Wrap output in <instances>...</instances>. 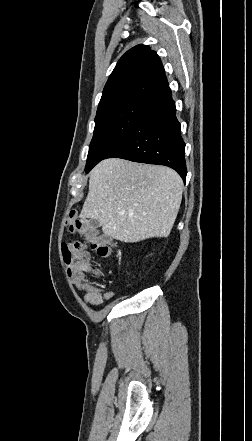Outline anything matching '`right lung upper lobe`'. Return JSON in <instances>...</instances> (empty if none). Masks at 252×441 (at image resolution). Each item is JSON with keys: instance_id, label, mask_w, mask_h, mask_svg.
Instances as JSON below:
<instances>
[{"instance_id": "cb5924a9", "label": "right lung upper lobe", "mask_w": 252, "mask_h": 441, "mask_svg": "<svg viewBox=\"0 0 252 441\" xmlns=\"http://www.w3.org/2000/svg\"><path fill=\"white\" fill-rule=\"evenodd\" d=\"M168 85L159 56L146 45L128 50L104 87L97 112L133 100L147 99Z\"/></svg>"}]
</instances>
